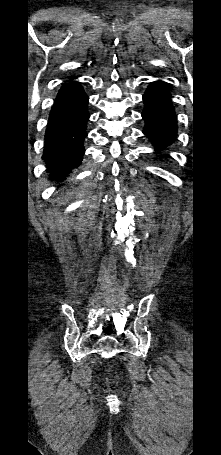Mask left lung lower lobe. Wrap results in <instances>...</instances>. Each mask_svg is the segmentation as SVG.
Segmentation results:
<instances>
[{
    "mask_svg": "<svg viewBox=\"0 0 221 455\" xmlns=\"http://www.w3.org/2000/svg\"><path fill=\"white\" fill-rule=\"evenodd\" d=\"M145 120L143 133L158 149L172 143L177 135V121L171 96L164 82L151 83L143 95Z\"/></svg>",
    "mask_w": 221,
    "mask_h": 455,
    "instance_id": "left-lung-lower-lobe-1",
    "label": "left lung lower lobe"
}]
</instances>
